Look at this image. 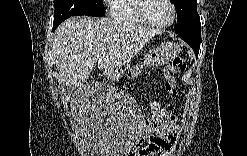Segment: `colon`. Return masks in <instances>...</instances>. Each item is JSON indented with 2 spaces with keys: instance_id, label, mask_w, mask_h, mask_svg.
Returning a JSON list of instances; mask_svg holds the SVG:
<instances>
[{
  "instance_id": "5ec220e1",
  "label": "colon",
  "mask_w": 247,
  "mask_h": 156,
  "mask_svg": "<svg viewBox=\"0 0 247 156\" xmlns=\"http://www.w3.org/2000/svg\"><path fill=\"white\" fill-rule=\"evenodd\" d=\"M186 69V59L183 56H176L173 58L170 64H168L164 70V86L167 93L170 96L177 94V81L176 75L183 72ZM151 116L147 117V126L143 131V136L150 139L158 135V130H161V126L166 118V113L161 110L160 107H150Z\"/></svg>"
}]
</instances>
